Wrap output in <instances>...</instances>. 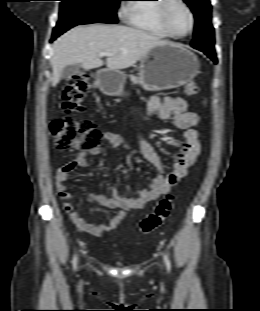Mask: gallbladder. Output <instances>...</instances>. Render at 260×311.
<instances>
[{"label": "gallbladder", "mask_w": 260, "mask_h": 311, "mask_svg": "<svg viewBox=\"0 0 260 311\" xmlns=\"http://www.w3.org/2000/svg\"><path fill=\"white\" fill-rule=\"evenodd\" d=\"M80 69H81L80 64L68 65L62 70L61 77L63 79H69L72 76L76 75L80 71Z\"/></svg>", "instance_id": "1"}]
</instances>
